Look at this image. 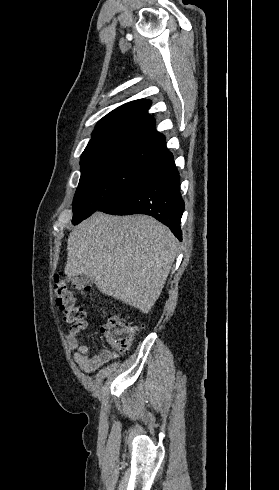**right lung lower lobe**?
Listing matches in <instances>:
<instances>
[{
    "label": "right lung lower lobe",
    "mask_w": 279,
    "mask_h": 490,
    "mask_svg": "<svg viewBox=\"0 0 279 490\" xmlns=\"http://www.w3.org/2000/svg\"><path fill=\"white\" fill-rule=\"evenodd\" d=\"M184 207L180 176L171 153L157 163V169L149 176L110 194L98 211L114 215H150L168 226L181 241Z\"/></svg>",
    "instance_id": "1"
}]
</instances>
